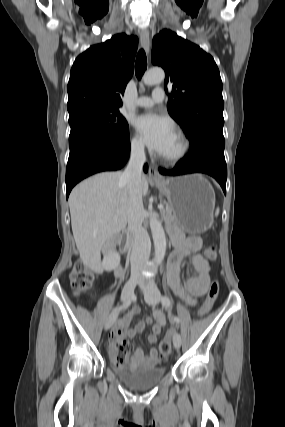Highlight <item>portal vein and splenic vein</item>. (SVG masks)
<instances>
[{
  "instance_id": "portal-vein-and-splenic-vein-1",
  "label": "portal vein and splenic vein",
  "mask_w": 285,
  "mask_h": 427,
  "mask_svg": "<svg viewBox=\"0 0 285 427\" xmlns=\"http://www.w3.org/2000/svg\"><path fill=\"white\" fill-rule=\"evenodd\" d=\"M158 208H159L160 210H162V209L164 208V206H163L162 204H159V205H158Z\"/></svg>"
}]
</instances>
